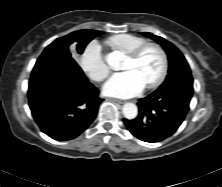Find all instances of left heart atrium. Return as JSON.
<instances>
[{
  "mask_svg": "<svg viewBox=\"0 0 222 187\" xmlns=\"http://www.w3.org/2000/svg\"><path fill=\"white\" fill-rule=\"evenodd\" d=\"M144 86L134 71L125 70L114 74L104 85L103 92L109 96L128 98L140 93Z\"/></svg>",
  "mask_w": 222,
  "mask_h": 187,
  "instance_id": "39dd6f15",
  "label": "left heart atrium"
}]
</instances>
